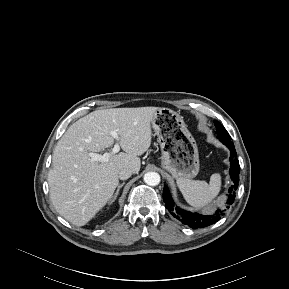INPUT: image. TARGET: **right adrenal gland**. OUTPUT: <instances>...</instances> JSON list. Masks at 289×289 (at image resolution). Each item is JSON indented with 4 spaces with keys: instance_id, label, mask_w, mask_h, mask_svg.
I'll return each instance as SVG.
<instances>
[{
    "instance_id": "1",
    "label": "right adrenal gland",
    "mask_w": 289,
    "mask_h": 289,
    "mask_svg": "<svg viewBox=\"0 0 289 289\" xmlns=\"http://www.w3.org/2000/svg\"><path fill=\"white\" fill-rule=\"evenodd\" d=\"M124 184H125V183L123 182V183H121V184L118 185V187H117V189H116V192L114 193L111 201L109 202V205L113 204V202L116 200V198H117V196H118V194H119V191H120V189L124 186Z\"/></svg>"
}]
</instances>
